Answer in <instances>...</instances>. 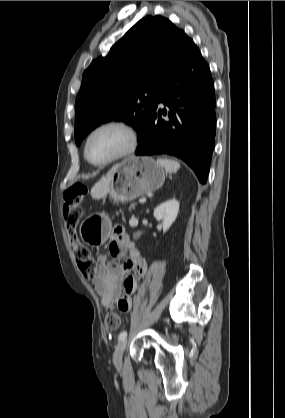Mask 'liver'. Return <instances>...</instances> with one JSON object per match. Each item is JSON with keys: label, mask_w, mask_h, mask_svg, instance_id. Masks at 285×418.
<instances>
[{"label": "liver", "mask_w": 285, "mask_h": 418, "mask_svg": "<svg viewBox=\"0 0 285 418\" xmlns=\"http://www.w3.org/2000/svg\"><path fill=\"white\" fill-rule=\"evenodd\" d=\"M114 166L106 176L102 177L100 181H98L93 188L91 189V196L94 199H101L106 196V194L110 191L111 183L113 180V171L115 170Z\"/></svg>", "instance_id": "obj_1"}]
</instances>
